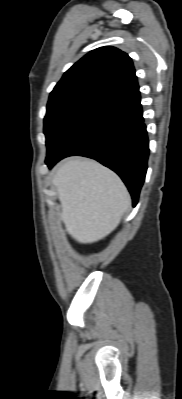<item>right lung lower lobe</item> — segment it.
Segmentation results:
<instances>
[{"label":"right lung lower lobe","instance_id":"1","mask_svg":"<svg viewBox=\"0 0 182 399\" xmlns=\"http://www.w3.org/2000/svg\"><path fill=\"white\" fill-rule=\"evenodd\" d=\"M139 89L106 101L67 129L47 150L52 168L67 156L95 159L115 171L136 206L149 155Z\"/></svg>","mask_w":182,"mask_h":399}]
</instances>
